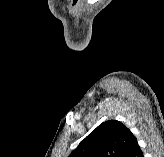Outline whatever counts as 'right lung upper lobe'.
I'll return each mask as SVG.
<instances>
[{
    "label": "right lung upper lobe",
    "mask_w": 164,
    "mask_h": 157,
    "mask_svg": "<svg viewBox=\"0 0 164 157\" xmlns=\"http://www.w3.org/2000/svg\"><path fill=\"white\" fill-rule=\"evenodd\" d=\"M136 142L125 125L110 120L94 129L69 157H126Z\"/></svg>",
    "instance_id": "right-lung-upper-lobe-1"
}]
</instances>
